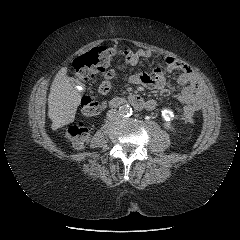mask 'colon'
<instances>
[{"mask_svg": "<svg viewBox=\"0 0 240 240\" xmlns=\"http://www.w3.org/2000/svg\"><path fill=\"white\" fill-rule=\"evenodd\" d=\"M117 51L115 47H98L79 56L73 63L76 77L86 82L94 75L104 72ZM81 109L84 115L92 117L100 113L101 107L93 97L84 96L81 100ZM183 113L186 122L194 123V110L190 106H185ZM66 137L74 148L83 149L87 144L89 131L83 122H77L67 127Z\"/></svg>", "mask_w": 240, "mask_h": 240, "instance_id": "colon-1", "label": "colon"}]
</instances>
